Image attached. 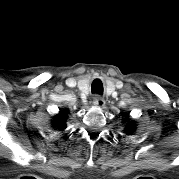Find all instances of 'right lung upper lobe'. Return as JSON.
I'll list each match as a JSON object with an SVG mask.
<instances>
[{
	"label": "right lung upper lobe",
	"instance_id": "right-lung-upper-lobe-1",
	"mask_svg": "<svg viewBox=\"0 0 179 179\" xmlns=\"http://www.w3.org/2000/svg\"><path fill=\"white\" fill-rule=\"evenodd\" d=\"M66 114L64 111H60L59 114L53 120V126L57 130H63L66 128L65 124Z\"/></svg>",
	"mask_w": 179,
	"mask_h": 179
}]
</instances>
